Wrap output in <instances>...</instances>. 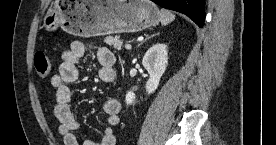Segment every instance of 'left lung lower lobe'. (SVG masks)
Instances as JSON below:
<instances>
[{"mask_svg":"<svg viewBox=\"0 0 276 145\" xmlns=\"http://www.w3.org/2000/svg\"><path fill=\"white\" fill-rule=\"evenodd\" d=\"M160 6L181 12L191 18L199 27H203L205 18V0H152Z\"/></svg>","mask_w":276,"mask_h":145,"instance_id":"1","label":"left lung lower lobe"}]
</instances>
